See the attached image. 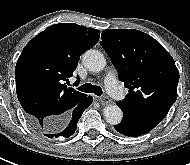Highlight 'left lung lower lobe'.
Masks as SVG:
<instances>
[{
    "label": "left lung lower lobe",
    "mask_w": 190,
    "mask_h": 165,
    "mask_svg": "<svg viewBox=\"0 0 190 165\" xmlns=\"http://www.w3.org/2000/svg\"><path fill=\"white\" fill-rule=\"evenodd\" d=\"M117 105L123 112V119L114 128L125 136L137 137L147 134L165 118V115L159 113L134 110L120 104Z\"/></svg>",
    "instance_id": "obj_1"
}]
</instances>
